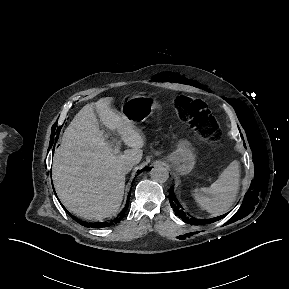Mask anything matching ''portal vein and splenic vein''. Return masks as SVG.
Wrapping results in <instances>:
<instances>
[{
    "mask_svg": "<svg viewBox=\"0 0 289 289\" xmlns=\"http://www.w3.org/2000/svg\"><path fill=\"white\" fill-rule=\"evenodd\" d=\"M119 150H120L119 145H116V146L114 147V153H115V154L119 153Z\"/></svg>",
    "mask_w": 289,
    "mask_h": 289,
    "instance_id": "1",
    "label": "portal vein and splenic vein"
}]
</instances>
